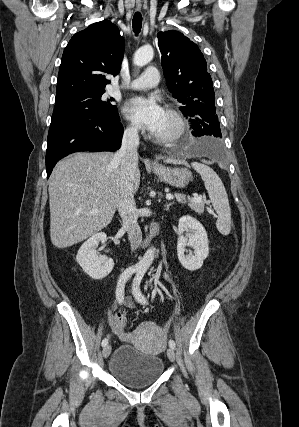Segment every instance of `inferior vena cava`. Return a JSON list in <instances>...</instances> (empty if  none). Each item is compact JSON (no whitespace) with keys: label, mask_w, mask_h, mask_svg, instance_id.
I'll list each match as a JSON object with an SVG mask.
<instances>
[{"label":"inferior vena cava","mask_w":299,"mask_h":427,"mask_svg":"<svg viewBox=\"0 0 299 427\" xmlns=\"http://www.w3.org/2000/svg\"><path fill=\"white\" fill-rule=\"evenodd\" d=\"M139 136L136 128L124 131L120 149L114 159L120 161L121 187L118 198V212L126 228L131 251L136 250L142 242V232L137 222V209L134 200V175L138 166L137 148Z\"/></svg>","instance_id":"obj_1"}]
</instances>
